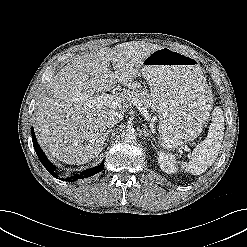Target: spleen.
<instances>
[{
  "label": "spleen",
  "mask_w": 247,
  "mask_h": 247,
  "mask_svg": "<svg viewBox=\"0 0 247 247\" xmlns=\"http://www.w3.org/2000/svg\"><path fill=\"white\" fill-rule=\"evenodd\" d=\"M224 117L221 108L216 107L212 114V123L206 139L196 146L192 153L191 160L182 162L181 167L193 175H200L211 166L220 151L224 136Z\"/></svg>",
  "instance_id": "obj_1"
}]
</instances>
